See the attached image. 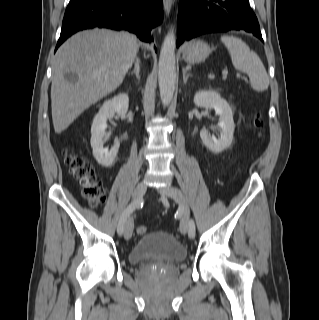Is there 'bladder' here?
Instances as JSON below:
<instances>
[{"label":"bladder","mask_w":319,"mask_h":320,"mask_svg":"<svg viewBox=\"0 0 319 320\" xmlns=\"http://www.w3.org/2000/svg\"><path fill=\"white\" fill-rule=\"evenodd\" d=\"M187 256V249L173 236L164 231H149L142 235L129 254L132 264L138 265L158 258L168 262H179Z\"/></svg>","instance_id":"obj_1"}]
</instances>
